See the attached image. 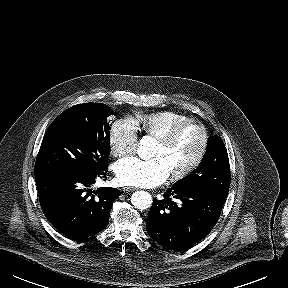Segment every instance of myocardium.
I'll use <instances>...</instances> for the list:
<instances>
[{
    "label": "myocardium",
    "instance_id": "f54148a6",
    "mask_svg": "<svg viewBox=\"0 0 288 288\" xmlns=\"http://www.w3.org/2000/svg\"><path fill=\"white\" fill-rule=\"evenodd\" d=\"M190 125H194L199 129L201 133V144H200V147L196 156L188 165H186L179 171H175L171 173V178L173 180H180V179L185 178L190 173H192L202 162L205 156L207 147H208V142H209V135H208L207 128L202 122L193 118H188L186 120L176 123L175 125L170 127L165 133H163L158 138H156L157 141L162 143L163 145H170L175 140V138L179 135V133H181L186 127Z\"/></svg>",
    "mask_w": 288,
    "mask_h": 288
}]
</instances>
